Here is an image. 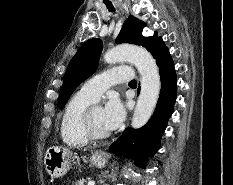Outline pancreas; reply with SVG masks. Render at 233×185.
<instances>
[{
  "label": "pancreas",
  "instance_id": "pancreas-1",
  "mask_svg": "<svg viewBox=\"0 0 233 185\" xmlns=\"http://www.w3.org/2000/svg\"><path fill=\"white\" fill-rule=\"evenodd\" d=\"M87 182V180L85 179H82V180H79L75 183V185H85V183Z\"/></svg>",
  "mask_w": 233,
  "mask_h": 185
}]
</instances>
